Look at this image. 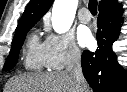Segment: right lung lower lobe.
Segmentation results:
<instances>
[{
  "instance_id": "obj_1",
  "label": "right lung lower lobe",
  "mask_w": 127,
  "mask_h": 92,
  "mask_svg": "<svg viewBox=\"0 0 127 92\" xmlns=\"http://www.w3.org/2000/svg\"><path fill=\"white\" fill-rule=\"evenodd\" d=\"M121 5L99 8L97 42L94 52L85 50L81 57L83 74L94 92H122L127 87V72L117 62L112 44L120 34Z\"/></svg>"
}]
</instances>
